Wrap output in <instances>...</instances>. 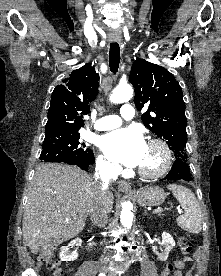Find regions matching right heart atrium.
Wrapping results in <instances>:
<instances>
[{"label": "right heart atrium", "instance_id": "right-heart-atrium-1", "mask_svg": "<svg viewBox=\"0 0 221 276\" xmlns=\"http://www.w3.org/2000/svg\"><path fill=\"white\" fill-rule=\"evenodd\" d=\"M97 167L101 172L110 176L116 175L119 172L118 165L111 162L103 155L98 156Z\"/></svg>", "mask_w": 221, "mask_h": 276}]
</instances>
